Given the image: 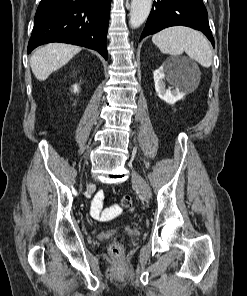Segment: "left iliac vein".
<instances>
[{
    "label": "left iliac vein",
    "instance_id": "obj_1",
    "mask_svg": "<svg viewBox=\"0 0 247 296\" xmlns=\"http://www.w3.org/2000/svg\"><path fill=\"white\" fill-rule=\"evenodd\" d=\"M132 182L138 188V190L141 192L143 197L146 200H149L151 197V191H150L149 185L146 183V181L142 177L137 175L136 173H133L132 174Z\"/></svg>",
    "mask_w": 247,
    "mask_h": 296
}]
</instances>
